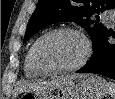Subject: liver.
Returning <instances> with one entry per match:
<instances>
[{
    "label": "liver",
    "instance_id": "1",
    "mask_svg": "<svg viewBox=\"0 0 115 99\" xmlns=\"http://www.w3.org/2000/svg\"><path fill=\"white\" fill-rule=\"evenodd\" d=\"M68 77L70 76H60L51 81L30 83V84L23 86L22 91L24 90L25 92H27V91H35V90L44 89V88L56 85Z\"/></svg>",
    "mask_w": 115,
    "mask_h": 99
}]
</instances>
